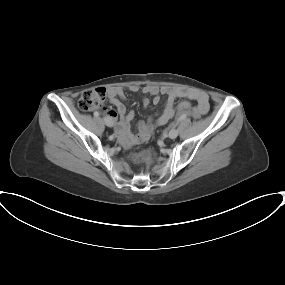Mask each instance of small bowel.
I'll return each mask as SVG.
<instances>
[{"mask_svg":"<svg viewBox=\"0 0 285 285\" xmlns=\"http://www.w3.org/2000/svg\"><path fill=\"white\" fill-rule=\"evenodd\" d=\"M138 87L133 85L130 86L132 92H137ZM143 93L153 96V103L158 104L160 101L159 94L166 95L167 100L165 108L161 115L153 123L151 119L147 121H140L137 125L138 133L133 135L131 133V121L134 118V113L128 111L125 104L126 94L121 87H110L106 90L109 102L116 108V110H106L108 118L116 121L119 117V121L116 125V134L120 141L127 147H131L140 142H144L150 138L156 126L166 124L175 114L176 111L182 112L190 108V102L188 100L181 101L177 107H174L175 100L178 97L184 96L189 100L197 102L198 108L203 114L209 110V99L208 96L203 92H187L181 93L175 89L168 87L159 88L156 85H146L142 88ZM150 103L149 99H143V105L148 106Z\"/></svg>","mask_w":285,"mask_h":285,"instance_id":"c3829d8e","label":"small bowel"}]
</instances>
